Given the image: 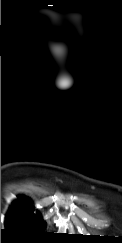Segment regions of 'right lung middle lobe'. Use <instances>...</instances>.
<instances>
[{"label":"right lung middle lobe","mask_w":122,"mask_h":243,"mask_svg":"<svg viewBox=\"0 0 122 243\" xmlns=\"http://www.w3.org/2000/svg\"><path fill=\"white\" fill-rule=\"evenodd\" d=\"M6 231L19 236H41L45 228L44 222L39 215L33 213L31 206L13 204L6 216Z\"/></svg>","instance_id":"right-lung-middle-lobe-1"}]
</instances>
